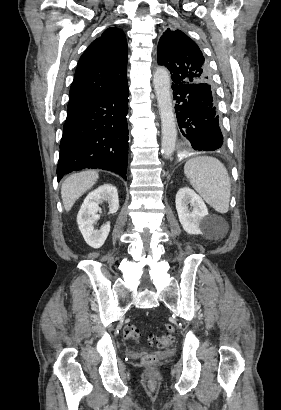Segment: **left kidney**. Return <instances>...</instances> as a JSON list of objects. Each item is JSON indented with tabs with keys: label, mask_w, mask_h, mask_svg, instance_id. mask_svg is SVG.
<instances>
[{
	"label": "left kidney",
	"mask_w": 281,
	"mask_h": 410,
	"mask_svg": "<svg viewBox=\"0 0 281 410\" xmlns=\"http://www.w3.org/2000/svg\"><path fill=\"white\" fill-rule=\"evenodd\" d=\"M175 203L183 229L191 235L201 234L209 224L208 209L202 198L189 187H184L177 192Z\"/></svg>",
	"instance_id": "obj_1"
}]
</instances>
